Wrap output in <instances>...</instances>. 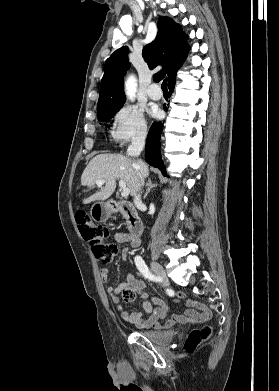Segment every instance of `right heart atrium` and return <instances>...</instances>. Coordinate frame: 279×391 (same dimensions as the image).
Returning <instances> with one entry per match:
<instances>
[{"instance_id":"obj_1","label":"right heart atrium","mask_w":279,"mask_h":391,"mask_svg":"<svg viewBox=\"0 0 279 391\" xmlns=\"http://www.w3.org/2000/svg\"><path fill=\"white\" fill-rule=\"evenodd\" d=\"M147 122L143 111L130 104L118 108L112 116L111 137L118 144L141 139L146 135Z\"/></svg>"}]
</instances>
